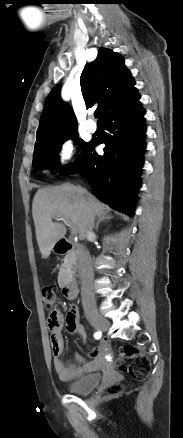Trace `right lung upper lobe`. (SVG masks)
Instances as JSON below:
<instances>
[{
    "label": "right lung upper lobe",
    "instance_id": "cb5924a9",
    "mask_svg": "<svg viewBox=\"0 0 183 438\" xmlns=\"http://www.w3.org/2000/svg\"><path fill=\"white\" fill-rule=\"evenodd\" d=\"M80 85L87 108L98 103L100 119L138 94L123 57L103 47L98 50L97 58L84 68ZM76 128V117L73 110L60 99L58 84L46 99L37 139Z\"/></svg>",
    "mask_w": 183,
    "mask_h": 438
}]
</instances>
